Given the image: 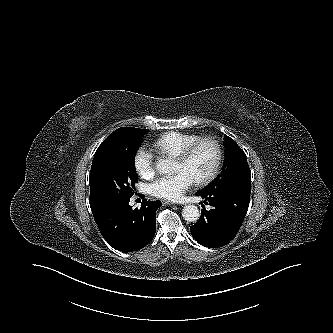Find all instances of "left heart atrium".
<instances>
[{
  "label": "left heart atrium",
  "mask_w": 333,
  "mask_h": 333,
  "mask_svg": "<svg viewBox=\"0 0 333 333\" xmlns=\"http://www.w3.org/2000/svg\"><path fill=\"white\" fill-rule=\"evenodd\" d=\"M194 179L185 171L173 175H163L149 184L152 195L171 201L180 200L194 184Z\"/></svg>",
  "instance_id": "obj_1"
}]
</instances>
